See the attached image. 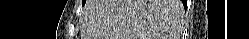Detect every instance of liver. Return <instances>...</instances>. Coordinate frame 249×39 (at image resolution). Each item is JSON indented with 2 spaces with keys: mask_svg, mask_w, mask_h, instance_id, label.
<instances>
[{
  "mask_svg": "<svg viewBox=\"0 0 249 39\" xmlns=\"http://www.w3.org/2000/svg\"><path fill=\"white\" fill-rule=\"evenodd\" d=\"M172 32L173 0H92L81 39H168Z\"/></svg>",
  "mask_w": 249,
  "mask_h": 39,
  "instance_id": "obj_1",
  "label": "liver"
}]
</instances>
